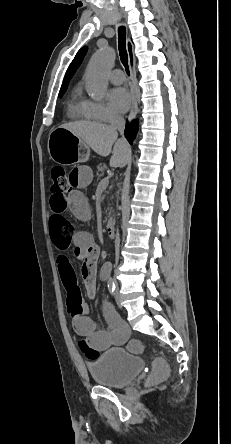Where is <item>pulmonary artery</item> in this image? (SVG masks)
Segmentation results:
<instances>
[{"label":"pulmonary artery","mask_w":231,"mask_h":444,"mask_svg":"<svg viewBox=\"0 0 231 444\" xmlns=\"http://www.w3.org/2000/svg\"><path fill=\"white\" fill-rule=\"evenodd\" d=\"M110 81L113 84H122L125 81V74L120 69H115L110 73Z\"/></svg>","instance_id":"e3ab8cb5"}]
</instances>
